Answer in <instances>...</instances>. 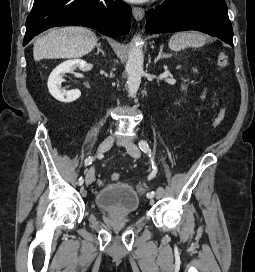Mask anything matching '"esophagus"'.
Returning a JSON list of instances; mask_svg holds the SVG:
<instances>
[{"instance_id": "obj_1", "label": "esophagus", "mask_w": 255, "mask_h": 272, "mask_svg": "<svg viewBox=\"0 0 255 272\" xmlns=\"http://www.w3.org/2000/svg\"><path fill=\"white\" fill-rule=\"evenodd\" d=\"M132 11H133V16L134 18L137 20V21H140L143 19L144 17V9L143 8H140V7H133L132 8Z\"/></svg>"}]
</instances>
